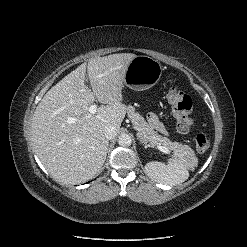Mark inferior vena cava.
Returning <instances> with one entry per match:
<instances>
[{"mask_svg": "<svg viewBox=\"0 0 247 247\" xmlns=\"http://www.w3.org/2000/svg\"><path fill=\"white\" fill-rule=\"evenodd\" d=\"M103 133L105 135V137L109 140L113 139L116 136V128L112 125H107L105 126V128L103 129Z\"/></svg>", "mask_w": 247, "mask_h": 247, "instance_id": "1", "label": "inferior vena cava"}]
</instances>
